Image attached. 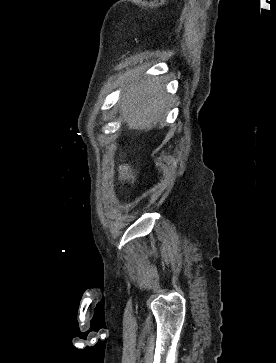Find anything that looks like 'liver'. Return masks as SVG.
<instances>
[{"instance_id": "6515ba94", "label": "liver", "mask_w": 276, "mask_h": 363, "mask_svg": "<svg viewBox=\"0 0 276 363\" xmlns=\"http://www.w3.org/2000/svg\"><path fill=\"white\" fill-rule=\"evenodd\" d=\"M119 107L121 119L129 129L143 130L161 121L168 110L169 96L158 77H136L127 79Z\"/></svg>"}]
</instances>
